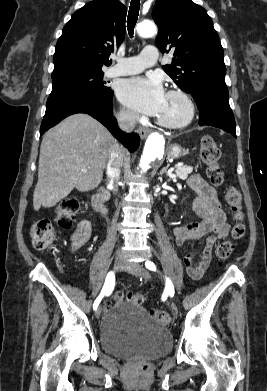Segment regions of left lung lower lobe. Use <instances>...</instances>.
Instances as JSON below:
<instances>
[{"mask_svg": "<svg viewBox=\"0 0 267 391\" xmlns=\"http://www.w3.org/2000/svg\"><path fill=\"white\" fill-rule=\"evenodd\" d=\"M200 111L199 125L221 128L236 137L235 119L227 89L206 87L191 94Z\"/></svg>", "mask_w": 267, "mask_h": 391, "instance_id": "0a47b994", "label": "left lung lower lobe"}]
</instances>
